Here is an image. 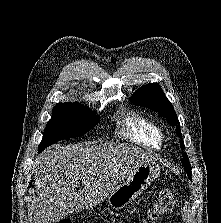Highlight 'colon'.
<instances>
[{"label":"colon","mask_w":221,"mask_h":223,"mask_svg":"<svg viewBox=\"0 0 221 223\" xmlns=\"http://www.w3.org/2000/svg\"><path fill=\"white\" fill-rule=\"evenodd\" d=\"M175 207V195L169 188L163 189L155 202L148 208L142 223H157V221L168 213L172 212ZM59 223H71L68 218H63Z\"/></svg>","instance_id":"colon-1"}]
</instances>
